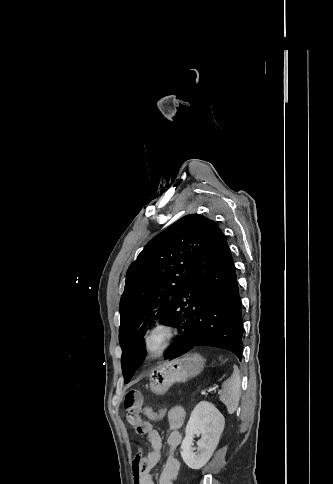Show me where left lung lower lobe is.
<instances>
[{
    "mask_svg": "<svg viewBox=\"0 0 333 484\" xmlns=\"http://www.w3.org/2000/svg\"><path fill=\"white\" fill-rule=\"evenodd\" d=\"M165 323L181 335L165 353L177 358L195 346H212L242 358V303L226 238L213 221L193 255L172 301Z\"/></svg>",
    "mask_w": 333,
    "mask_h": 484,
    "instance_id": "obj_1",
    "label": "left lung lower lobe"
}]
</instances>
